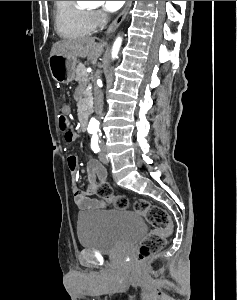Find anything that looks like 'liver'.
I'll list each match as a JSON object with an SVG mask.
<instances>
[{
    "instance_id": "6515ba94",
    "label": "liver",
    "mask_w": 237,
    "mask_h": 300,
    "mask_svg": "<svg viewBox=\"0 0 237 300\" xmlns=\"http://www.w3.org/2000/svg\"><path fill=\"white\" fill-rule=\"evenodd\" d=\"M106 43H95L94 37H84L77 41H58L54 43L50 55H71V57H87L88 61H97L103 53Z\"/></svg>"
}]
</instances>
